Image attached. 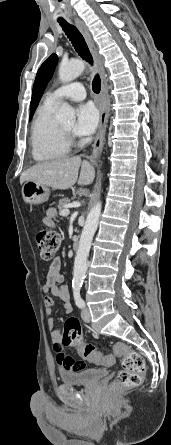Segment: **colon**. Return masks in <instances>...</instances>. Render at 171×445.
I'll return each mask as SVG.
<instances>
[{"label":"colon","mask_w":171,"mask_h":445,"mask_svg":"<svg viewBox=\"0 0 171 445\" xmlns=\"http://www.w3.org/2000/svg\"><path fill=\"white\" fill-rule=\"evenodd\" d=\"M35 238L40 256L46 260L53 258L60 245L59 235L47 228H38L35 232ZM62 341L65 345L78 349L81 356L90 362L110 364L113 361V356L122 358V370L109 385L111 394L136 387L140 385L144 378L146 364L137 351L122 343L114 345L112 354H103L96 351L92 345L84 343L81 322L76 317H69L65 321Z\"/></svg>","instance_id":"obj_1"}]
</instances>
